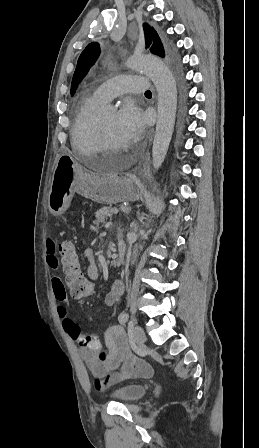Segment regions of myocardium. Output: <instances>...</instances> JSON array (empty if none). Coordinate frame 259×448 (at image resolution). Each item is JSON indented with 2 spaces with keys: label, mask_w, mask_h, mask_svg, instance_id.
Instances as JSON below:
<instances>
[{
  "label": "myocardium",
  "mask_w": 259,
  "mask_h": 448,
  "mask_svg": "<svg viewBox=\"0 0 259 448\" xmlns=\"http://www.w3.org/2000/svg\"><path fill=\"white\" fill-rule=\"evenodd\" d=\"M98 135H99V142L101 145V150L95 152V154H104L107 152H113L118 150L119 148L115 146L112 141L109 138L108 132L106 130V127L103 123V121L98 118ZM76 156L79 157V163H87L86 157L82 156L81 154L76 152Z\"/></svg>",
  "instance_id": "f54148a6"
}]
</instances>
